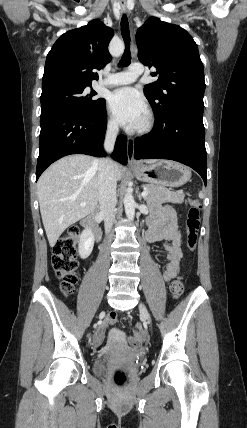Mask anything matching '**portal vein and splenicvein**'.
<instances>
[{
  "label": "portal vein and splenic vein",
  "instance_id": "1",
  "mask_svg": "<svg viewBox=\"0 0 247 428\" xmlns=\"http://www.w3.org/2000/svg\"><path fill=\"white\" fill-rule=\"evenodd\" d=\"M148 195V191L147 190H144L142 193H141V196L142 197H146ZM86 205V203H81V206H85Z\"/></svg>",
  "mask_w": 247,
  "mask_h": 428
}]
</instances>
